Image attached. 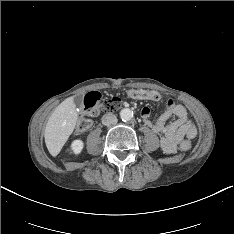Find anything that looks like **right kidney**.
I'll use <instances>...</instances> for the list:
<instances>
[{"label": "right kidney", "mask_w": 234, "mask_h": 234, "mask_svg": "<svg viewBox=\"0 0 234 234\" xmlns=\"http://www.w3.org/2000/svg\"><path fill=\"white\" fill-rule=\"evenodd\" d=\"M71 153L75 154V155H78L81 153V151L83 150L84 148V143L82 140L80 139H76L74 140L72 143H71Z\"/></svg>", "instance_id": "right-kidney-1"}]
</instances>
